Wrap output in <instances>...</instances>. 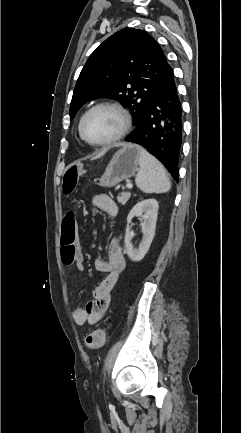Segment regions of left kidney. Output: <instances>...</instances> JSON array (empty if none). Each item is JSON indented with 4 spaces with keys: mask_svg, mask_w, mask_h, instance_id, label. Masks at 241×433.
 I'll use <instances>...</instances> for the list:
<instances>
[{
    "mask_svg": "<svg viewBox=\"0 0 241 433\" xmlns=\"http://www.w3.org/2000/svg\"><path fill=\"white\" fill-rule=\"evenodd\" d=\"M158 208L159 205L155 199H147L138 202L128 214L124 243L127 255L133 262L141 261L150 248L155 234ZM135 216H142L143 219L141 224L143 239L138 249L133 248L131 242L133 235L130 231V223Z\"/></svg>",
    "mask_w": 241,
    "mask_h": 433,
    "instance_id": "obj_1",
    "label": "left kidney"
}]
</instances>
